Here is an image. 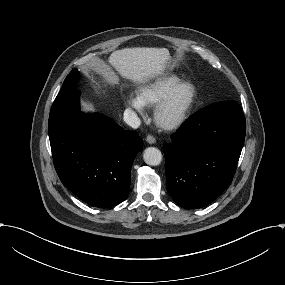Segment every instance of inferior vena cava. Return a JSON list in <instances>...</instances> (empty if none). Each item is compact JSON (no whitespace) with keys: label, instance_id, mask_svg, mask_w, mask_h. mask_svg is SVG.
Returning a JSON list of instances; mask_svg holds the SVG:
<instances>
[{"label":"inferior vena cava","instance_id":"inferior-vena-cava-1","mask_svg":"<svg viewBox=\"0 0 285 285\" xmlns=\"http://www.w3.org/2000/svg\"><path fill=\"white\" fill-rule=\"evenodd\" d=\"M123 119L132 128H138L141 124L139 117L131 108L125 109Z\"/></svg>","mask_w":285,"mask_h":285}]
</instances>
